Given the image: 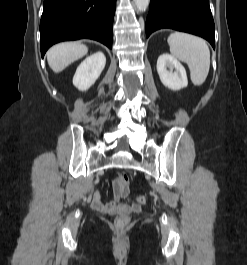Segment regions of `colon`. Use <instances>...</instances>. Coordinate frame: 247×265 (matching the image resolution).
I'll use <instances>...</instances> for the list:
<instances>
[{
  "instance_id": "obj_1",
  "label": "colon",
  "mask_w": 247,
  "mask_h": 265,
  "mask_svg": "<svg viewBox=\"0 0 247 265\" xmlns=\"http://www.w3.org/2000/svg\"><path fill=\"white\" fill-rule=\"evenodd\" d=\"M120 189L123 192H128L129 189V178L125 173H119L116 179ZM137 201L140 204L145 203V198L143 196H137ZM129 223V218L127 216H119L115 220V227L119 230H123Z\"/></svg>"
}]
</instances>
